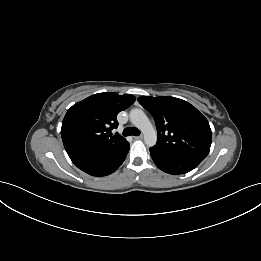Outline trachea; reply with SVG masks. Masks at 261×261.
<instances>
[{
  "instance_id": "obj_1",
  "label": "trachea",
  "mask_w": 261,
  "mask_h": 261,
  "mask_svg": "<svg viewBox=\"0 0 261 261\" xmlns=\"http://www.w3.org/2000/svg\"><path fill=\"white\" fill-rule=\"evenodd\" d=\"M124 136H139L140 135V130L135 128V127H127L123 131Z\"/></svg>"
}]
</instances>
